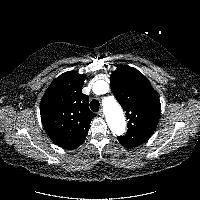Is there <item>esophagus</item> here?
Wrapping results in <instances>:
<instances>
[{"mask_svg":"<svg viewBox=\"0 0 200 200\" xmlns=\"http://www.w3.org/2000/svg\"><path fill=\"white\" fill-rule=\"evenodd\" d=\"M98 115H99L100 117H104V112H103L102 109L98 112Z\"/></svg>","mask_w":200,"mask_h":200,"instance_id":"34e87169","label":"esophagus"}]
</instances>
